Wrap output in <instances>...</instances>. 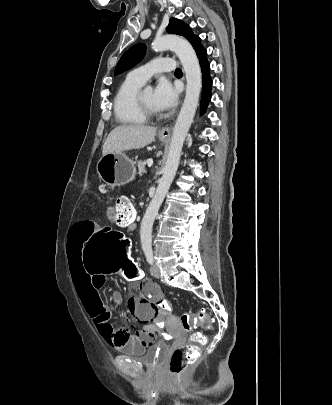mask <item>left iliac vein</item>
Listing matches in <instances>:
<instances>
[{"mask_svg":"<svg viewBox=\"0 0 332 405\" xmlns=\"http://www.w3.org/2000/svg\"><path fill=\"white\" fill-rule=\"evenodd\" d=\"M150 273L155 278H160L161 277V272H160V269H159V267L157 265H152L150 267Z\"/></svg>","mask_w":332,"mask_h":405,"instance_id":"1","label":"left iliac vein"}]
</instances>
